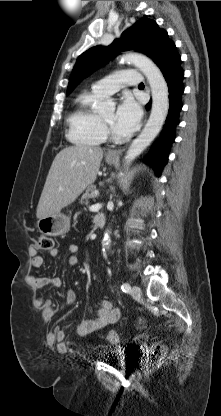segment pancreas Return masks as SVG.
Instances as JSON below:
<instances>
[{
	"label": "pancreas",
	"instance_id": "obj_1",
	"mask_svg": "<svg viewBox=\"0 0 221 416\" xmlns=\"http://www.w3.org/2000/svg\"><path fill=\"white\" fill-rule=\"evenodd\" d=\"M98 196V192L96 191L95 187L87 188L86 192L82 195L80 203L81 204H89V199H94Z\"/></svg>",
	"mask_w": 221,
	"mask_h": 416
}]
</instances>
